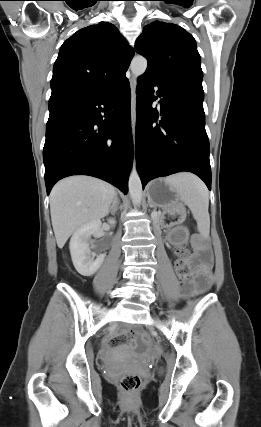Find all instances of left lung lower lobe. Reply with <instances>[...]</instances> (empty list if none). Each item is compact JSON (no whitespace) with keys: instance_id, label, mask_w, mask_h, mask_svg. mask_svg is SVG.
Here are the masks:
<instances>
[{"instance_id":"0a47b994","label":"left lung lower lobe","mask_w":261,"mask_h":427,"mask_svg":"<svg viewBox=\"0 0 261 427\" xmlns=\"http://www.w3.org/2000/svg\"><path fill=\"white\" fill-rule=\"evenodd\" d=\"M162 97L161 109L151 108ZM136 159L143 188L150 180L188 171L211 190L210 147L205 130L204 92L182 84H161L141 76L137 89ZM158 116L161 120L157 121Z\"/></svg>"}]
</instances>
